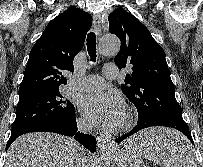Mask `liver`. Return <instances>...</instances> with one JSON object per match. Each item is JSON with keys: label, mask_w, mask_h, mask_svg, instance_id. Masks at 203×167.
Returning a JSON list of instances; mask_svg holds the SVG:
<instances>
[{"label": "liver", "mask_w": 203, "mask_h": 167, "mask_svg": "<svg viewBox=\"0 0 203 167\" xmlns=\"http://www.w3.org/2000/svg\"><path fill=\"white\" fill-rule=\"evenodd\" d=\"M169 136L179 133L163 129ZM155 129L145 138L141 135L127 140V143H138L154 135ZM89 167L85 150L72 138L51 133H28L17 138L10 146L4 167Z\"/></svg>", "instance_id": "6515ba94"}]
</instances>
